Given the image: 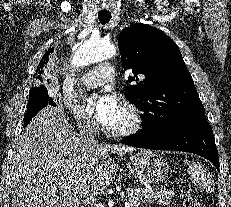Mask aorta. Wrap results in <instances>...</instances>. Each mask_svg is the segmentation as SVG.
<instances>
[{"instance_id": "obj_1", "label": "aorta", "mask_w": 231, "mask_h": 207, "mask_svg": "<svg viewBox=\"0 0 231 207\" xmlns=\"http://www.w3.org/2000/svg\"><path fill=\"white\" fill-rule=\"evenodd\" d=\"M117 53L116 47L103 39H88L80 45L75 52L71 66L80 68L91 63L104 61L114 57Z\"/></svg>"}]
</instances>
